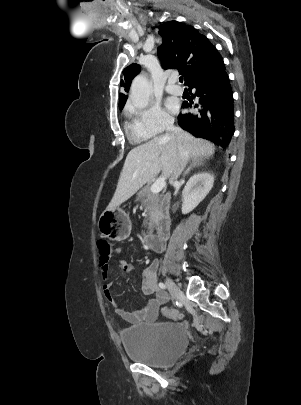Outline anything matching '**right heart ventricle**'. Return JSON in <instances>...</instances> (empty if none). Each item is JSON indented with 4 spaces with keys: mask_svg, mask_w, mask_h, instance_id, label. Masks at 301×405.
Masks as SVG:
<instances>
[{
    "mask_svg": "<svg viewBox=\"0 0 301 405\" xmlns=\"http://www.w3.org/2000/svg\"><path fill=\"white\" fill-rule=\"evenodd\" d=\"M125 116V128L132 141L142 142L150 137V135L142 131V129L138 126L131 110H127Z\"/></svg>",
    "mask_w": 301,
    "mask_h": 405,
    "instance_id": "right-heart-ventricle-1",
    "label": "right heart ventricle"
}]
</instances>
